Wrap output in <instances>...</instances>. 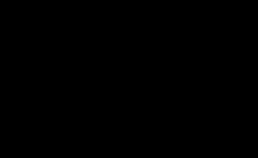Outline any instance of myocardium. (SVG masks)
Listing matches in <instances>:
<instances>
[{
    "mask_svg": "<svg viewBox=\"0 0 258 158\" xmlns=\"http://www.w3.org/2000/svg\"><path fill=\"white\" fill-rule=\"evenodd\" d=\"M154 49H156V48H152V50L149 49V51H153ZM174 53H175V62H174V64H173L171 70L167 73L166 76H164V77L161 78L160 80L155 81L154 83H157V84L162 83V82L166 81V80L171 76V74H172L173 71L175 70V68H176V66H177V62H178L177 53H176L175 51H174Z\"/></svg>",
    "mask_w": 258,
    "mask_h": 158,
    "instance_id": "myocardium-1",
    "label": "myocardium"
}]
</instances>
